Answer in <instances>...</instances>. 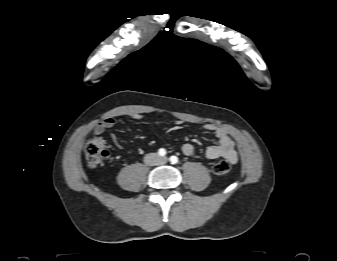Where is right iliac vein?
I'll use <instances>...</instances> for the list:
<instances>
[{"mask_svg":"<svg viewBox=\"0 0 337 261\" xmlns=\"http://www.w3.org/2000/svg\"><path fill=\"white\" fill-rule=\"evenodd\" d=\"M149 160L151 161V162H154L156 159H155V156L154 155H152V156H150L149 157Z\"/></svg>","mask_w":337,"mask_h":261,"instance_id":"right-iliac-vein-1","label":"right iliac vein"}]
</instances>
